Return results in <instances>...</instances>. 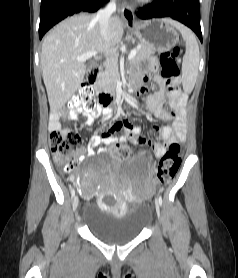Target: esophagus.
Instances as JSON below:
<instances>
[{"instance_id": "obj_1", "label": "esophagus", "mask_w": 238, "mask_h": 278, "mask_svg": "<svg viewBox=\"0 0 238 278\" xmlns=\"http://www.w3.org/2000/svg\"><path fill=\"white\" fill-rule=\"evenodd\" d=\"M121 15L126 24L132 25L135 23L133 10L131 6L125 2L121 4Z\"/></svg>"}]
</instances>
